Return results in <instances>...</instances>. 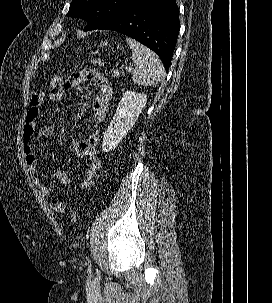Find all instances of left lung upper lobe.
Listing matches in <instances>:
<instances>
[{
  "mask_svg": "<svg viewBox=\"0 0 272 303\" xmlns=\"http://www.w3.org/2000/svg\"><path fill=\"white\" fill-rule=\"evenodd\" d=\"M139 0H72L68 16L85 19L84 31L94 30L99 25L134 5Z\"/></svg>",
  "mask_w": 272,
  "mask_h": 303,
  "instance_id": "left-lung-upper-lobe-1",
  "label": "left lung upper lobe"
}]
</instances>
